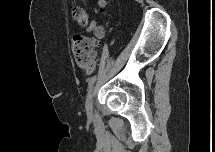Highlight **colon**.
<instances>
[{"mask_svg":"<svg viewBox=\"0 0 215 152\" xmlns=\"http://www.w3.org/2000/svg\"><path fill=\"white\" fill-rule=\"evenodd\" d=\"M99 5L104 6L105 0H98ZM73 18L80 27H86L89 25L90 16L89 13L81 7H75L72 11ZM102 36V30L100 28L95 30L94 38H88L82 35H76L72 41V53L77 65L87 73H92L93 63L92 59L95 52V46L98 39Z\"/></svg>","mask_w":215,"mask_h":152,"instance_id":"5ec220e1","label":"colon"}]
</instances>
